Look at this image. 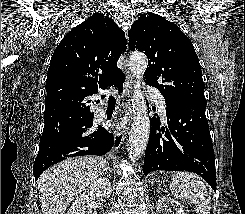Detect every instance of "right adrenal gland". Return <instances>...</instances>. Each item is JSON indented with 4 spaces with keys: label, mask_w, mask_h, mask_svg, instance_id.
<instances>
[{
    "label": "right adrenal gland",
    "mask_w": 245,
    "mask_h": 214,
    "mask_svg": "<svg viewBox=\"0 0 245 214\" xmlns=\"http://www.w3.org/2000/svg\"><path fill=\"white\" fill-rule=\"evenodd\" d=\"M107 170H108V172H107ZM107 173H108V176L111 175V168H110L109 164H107V167H106V170H105V174H107Z\"/></svg>",
    "instance_id": "obj_1"
}]
</instances>
